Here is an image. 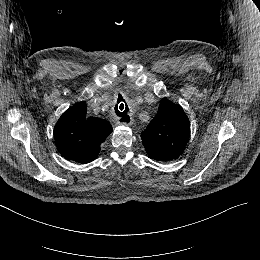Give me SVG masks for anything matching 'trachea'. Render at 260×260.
<instances>
[{
	"label": "trachea",
	"instance_id": "trachea-1",
	"mask_svg": "<svg viewBox=\"0 0 260 260\" xmlns=\"http://www.w3.org/2000/svg\"><path fill=\"white\" fill-rule=\"evenodd\" d=\"M116 114L120 117L121 122L129 121L130 117L128 116L127 112L129 111V108L127 105L120 104L119 108L118 106H115Z\"/></svg>",
	"mask_w": 260,
	"mask_h": 260
}]
</instances>
